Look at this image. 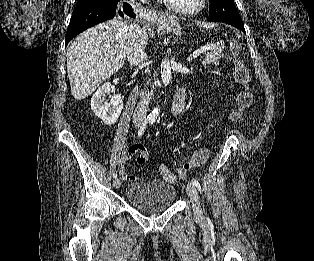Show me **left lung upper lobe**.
Masks as SVG:
<instances>
[{"mask_svg": "<svg viewBox=\"0 0 314 261\" xmlns=\"http://www.w3.org/2000/svg\"><path fill=\"white\" fill-rule=\"evenodd\" d=\"M208 19L214 22H242L234 0H210Z\"/></svg>", "mask_w": 314, "mask_h": 261, "instance_id": "5c2ea615", "label": "left lung upper lobe"}]
</instances>
